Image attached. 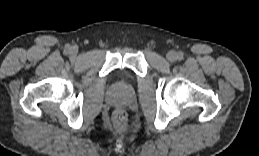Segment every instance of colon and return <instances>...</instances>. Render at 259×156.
Here are the masks:
<instances>
[{
	"label": "colon",
	"mask_w": 259,
	"mask_h": 156,
	"mask_svg": "<svg viewBox=\"0 0 259 156\" xmlns=\"http://www.w3.org/2000/svg\"><path fill=\"white\" fill-rule=\"evenodd\" d=\"M114 125L121 132H125L128 129L127 117L123 110L119 109L115 111Z\"/></svg>",
	"instance_id": "colon-1"
}]
</instances>
